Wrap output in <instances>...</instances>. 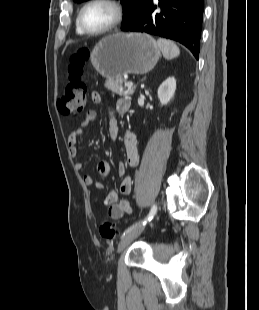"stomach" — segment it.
<instances>
[{
  "label": "stomach",
  "instance_id": "obj_1",
  "mask_svg": "<svg viewBox=\"0 0 259 310\" xmlns=\"http://www.w3.org/2000/svg\"><path fill=\"white\" fill-rule=\"evenodd\" d=\"M160 56L161 49L150 35L115 33L99 41L90 54V60L103 77L116 79L125 74L149 72Z\"/></svg>",
  "mask_w": 259,
  "mask_h": 310
}]
</instances>
